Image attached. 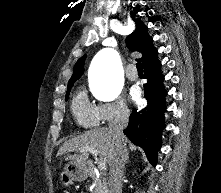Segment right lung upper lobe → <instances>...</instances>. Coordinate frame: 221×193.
<instances>
[{
  "label": "right lung upper lobe",
  "mask_w": 221,
  "mask_h": 193,
  "mask_svg": "<svg viewBox=\"0 0 221 193\" xmlns=\"http://www.w3.org/2000/svg\"><path fill=\"white\" fill-rule=\"evenodd\" d=\"M136 29L126 38L127 47L131 51H138L142 53L140 61L143 63L144 69L156 64L159 60L157 58L158 51L152 44V38L148 35L147 27L140 19L135 20ZM86 56L81 57L75 64L73 75L69 80L68 85L72 84L81 77L84 72V61Z\"/></svg>",
  "instance_id": "obj_1"
}]
</instances>
